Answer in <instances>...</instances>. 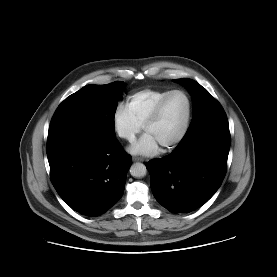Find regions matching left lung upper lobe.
<instances>
[{
	"mask_svg": "<svg viewBox=\"0 0 277 277\" xmlns=\"http://www.w3.org/2000/svg\"><path fill=\"white\" fill-rule=\"evenodd\" d=\"M174 81L188 88L194 104L193 120L185 137L204 124L226 118L220 103L199 83L191 79H175Z\"/></svg>",
	"mask_w": 277,
	"mask_h": 277,
	"instance_id": "5c2ea615",
	"label": "left lung upper lobe"
}]
</instances>
